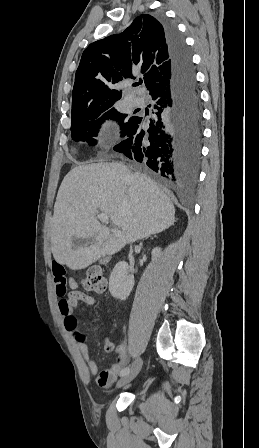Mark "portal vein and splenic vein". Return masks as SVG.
Masks as SVG:
<instances>
[{"instance_id": "obj_1", "label": "portal vein and splenic vein", "mask_w": 259, "mask_h": 448, "mask_svg": "<svg viewBox=\"0 0 259 448\" xmlns=\"http://www.w3.org/2000/svg\"><path fill=\"white\" fill-rule=\"evenodd\" d=\"M97 218H99L100 222H104V224H108L109 216L108 214H97ZM113 232H117V234H121L117 228H114Z\"/></svg>"}]
</instances>
